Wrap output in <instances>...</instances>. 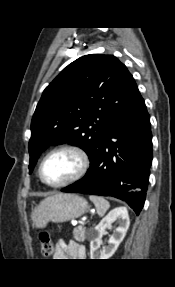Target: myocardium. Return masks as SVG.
Returning a JSON list of instances; mask_svg holds the SVG:
<instances>
[{
  "label": "myocardium",
  "instance_id": "1",
  "mask_svg": "<svg viewBox=\"0 0 175 287\" xmlns=\"http://www.w3.org/2000/svg\"><path fill=\"white\" fill-rule=\"evenodd\" d=\"M61 151H70L72 153H74L80 162L79 165V169L77 170V172L70 177L69 179L61 182V183H57V184H51L49 182H47L44 179L43 176V167L45 162L47 161V159L52 156L53 154L57 153V152H61ZM90 167V158L89 155L87 154V152L75 145H61L58 147H55L53 149H51L41 160L40 165H39V169H38V173H39V178L40 180L48 187H52V188H61L67 185H70L74 182H77L78 180H80L81 178H83L85 176V174L87 173V171L89 170Z\"/></svg>",
  "mask_w": 175,
  "mask_h": 287
}]
</instances>
